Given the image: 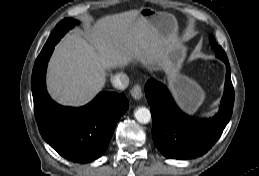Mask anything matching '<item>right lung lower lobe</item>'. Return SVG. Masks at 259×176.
<instances>
[{
  "label": "right lung lower lobe",
  "instance_id": "right-lung-lower-lobe-1",
  "mask_svg": "<svg viewBox=\"0 0 259 176\" xmlns=\"http://www.w3.org/2000/svg\"><path fill=\"white\" fill-rule=\"evenodd\" d=\"M56 44L42 49L32 72L38 128L43 139L64 158L77 163L91 162L107 149L118 120L128 110V100L123 93L101 92L80 108L55 103L46 91L45 76Z\"/></svg>",
  "mask_w": 259,
  "mask_h": 176
}]
</instances>
